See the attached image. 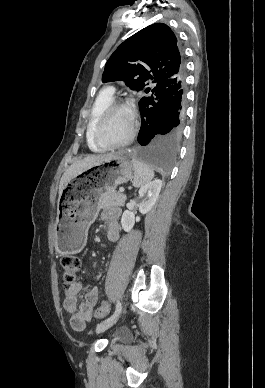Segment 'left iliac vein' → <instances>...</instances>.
Segmentation results:
<instances>
[{
  "instance_id": "1",
  "label": "left iliac vein",
  "mask_w": 265,
  "mask_h": 388,
  "mask_svg": "<svg viewBox=\"0 0 265 388\" xmlns=\"http://www.w3.org/2000/svg\"><path fill=\"white\" fill-rule=\"evenodd\" d=\"M122 310V309H121ZM120 314H121V311L120 313L114 317L113 319L109 320V321H104L102 323H100L97 327H96V333L99 334V333H102L104 331H106L107 329H109L111 326H113L120 318Z\"/></svg>"
}]
</instances>
